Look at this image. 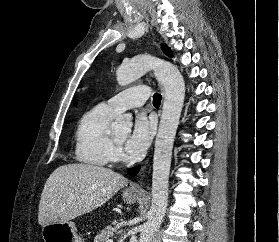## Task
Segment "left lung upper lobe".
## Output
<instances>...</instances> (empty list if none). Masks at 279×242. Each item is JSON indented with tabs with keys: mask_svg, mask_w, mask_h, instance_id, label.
Here are the masks:
<instances>
[{
	"mask_svg": "<svg viewBox=\"0 0 279 242\" xmlns=\"http://www.w3.org/2000/svg\"><path fill=\"white\" fill-rule=\"evenodd\" d=\"M163 51H164L168 56H172L171 51H170L169 48H167L166 46H163Z\"/></svg>",
	"mask_w": 279,
	"mask_h": 242,
	"instance_id": "1",
	"label": "left lung upper lobe"
}]
</instances>
